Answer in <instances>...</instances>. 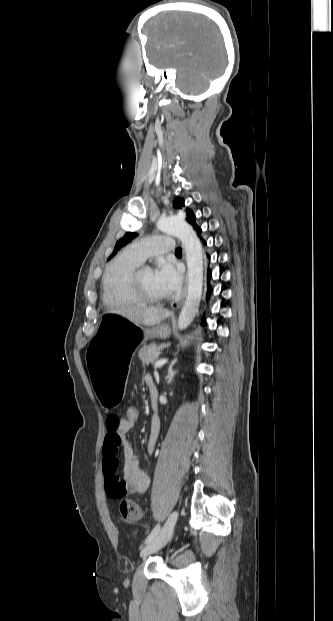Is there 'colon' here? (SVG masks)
Wrapping results in <instances>:
<instances>
[{
  "label": "colon",
  "mask_w": 333,
  "mask_h": 621,
  "mask_svg": "<svg viewBox=\"0 0 333 621\" xmlns=\"http://www.w3.org/2000/svg\"><path fill=\"white\" fill-rule=\"evenodd\" d=\"M139 409L132 404L126 405L124 408V419L130 424H136L139 420ZM120 513L122 517L128 521H138L141 518L140 507L132 500H123L120 503Z\"/></svg>",
  "instance_id": "colon-1"
}]
</instances>
